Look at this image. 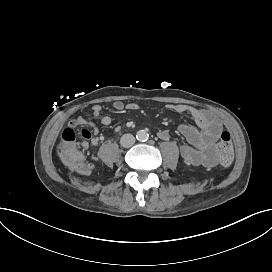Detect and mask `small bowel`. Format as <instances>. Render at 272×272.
I'll return each mask as SVG.
<instances>
[{
    "mask_svg": "<svg viewBox=\"0 0 272 272\" xmlns=\"http://www.w3.org/2000/svg\"><path fill=\"white\" fill-rule=\"evenodd\" d=\"M139 108L136 103H123L121 101H115L112 103V109L121 112L123 110L135 111ZM167 108L171 111L178 113H188L193 118L197 127L189 124H181L179 126V132L186 139L187 143L180 145L181 158L188 164L200 165L206 163V151L213 142L219 137L222 124L215 114L212 112L196 108L186 104H169ZM91 119L80 115L74 118L67 127L73 129L77 126H88L90 128H83L80 132L83 138L82 147L88 148L89 141L97 136L98 127L96 122L104 126H109L112 123V118L108 115H102V106L99 104L92 105L90 108ZM119 130V127L116 128ZM158 137L161 140H169L171 133L168 130H160Z\"/></svg>",
    "mask_w": 272,
    "mask_h": 272,
    "instance_id": "c3829d8e",
    "label": "small bowel"
}]
</instances>
